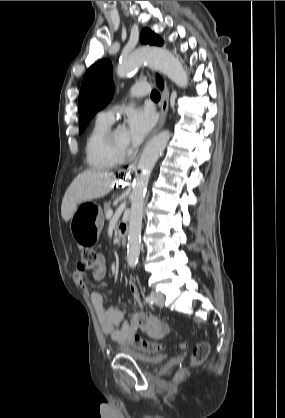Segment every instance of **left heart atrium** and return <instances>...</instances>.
Wrapping results in <instances>:
<instances>
[{
	"mask_svg": "<svg viewBox=\"0 0 285 418\" xmlns=\"http://www.w3.org/2000/svg\"><path fill=\"white\" fill-rule=\"evenodd\" d=\"M128 142L140 144L149 134L155 124V116L148 108H132L126 118Z\"/></svg>",
	"mask_w": 285,
	"mask_h": 418,
	"instance_id": "obj_1",
	"label": "left heart atrium"
}]
</instances>
